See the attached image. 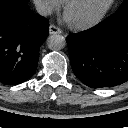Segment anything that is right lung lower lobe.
<instances>
[{
  "label": "right lung lower lobe",
  "mask_w": 128,
  "mask_h": 128,
  "mask_svg": "<svg viewBox=\"0 0 128 128\" xmlns=\"http://www.w3.org/2000/svg\"><path fill=\"white\" fill-rule=\"evenodd\" d=\"M48 30V20L27 0H0V82L15 85L34 74Z\"/></svg>",
  "instance_id": "obj_1"
}]
</instances>
